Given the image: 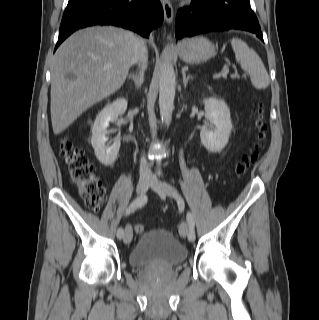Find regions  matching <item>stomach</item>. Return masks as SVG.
Returning a JSON list of instances; mask_svg holds the SVG:
<instances>
[{
    "instance_id": "1",
    "label": "stomach",
    "mask_w": 319,
    "mask_h": 320,
    "mask_svg": "<svg viewBox=\"0 0 319 320\" xmlns=\"http://www.w3.org/2000/svg\"><path fill=\"white\" fill-rule=\"evenodd\" d=\"M216 54L214 44L203 36L185 39L179 46L180 58L189 64H200L208 61Z\"/></svg>"
}]
</instances>
